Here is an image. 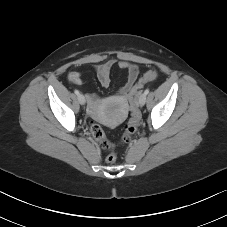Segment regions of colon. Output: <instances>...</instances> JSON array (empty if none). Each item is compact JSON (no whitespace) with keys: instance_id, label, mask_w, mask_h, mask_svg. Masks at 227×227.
Masks as SVG:
<instances>
[{"instance_id":"colon-1","label":"colon","mask_w":227,"mask_h":227,"mask_svg":"<svg viewBox=\"0 0 227 227\" xmlns=\"http://www.w3.org/2000/svg\"><path fill=\"white\" fill-rule=\"evenodd\" d=\"M157 76H158V74L156 71H154V70L147 71L129 92L128 101L130 104L131 116L124 127V132H123V136H122V141L124 143H127L131 140L132 136L134 135V133L137 130V127H138L140 119H141L140 112L136 105V98H137L140 90L144 86V84L156 80ZM90 132H91V135L93 136V138L98 142V144L103 149L111 148V144L107 140L105 133L99 124L91 123ZM116 159H117V157L114 152H110L106 157V161L111 164L114 163L116 161Z\"/></svg>"}]
</instances>
